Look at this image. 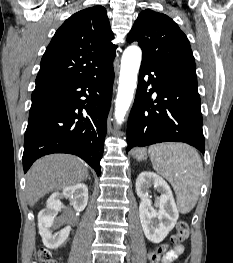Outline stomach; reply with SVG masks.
<instances>
[{"mask_svg":"<svg viewBox=\"0 0 233 263\" xmlns=\"http://www.w3.org/2000/svg\"><path fill=\"white\" fill-rule=\"evenodd\" d=\"M133 155L139 161L146 159V152L144 150H137Z\"/></svg>","mask_w":233,"mask_h":263,"instance_id":"1","label":"stomach"}]
</instances>
